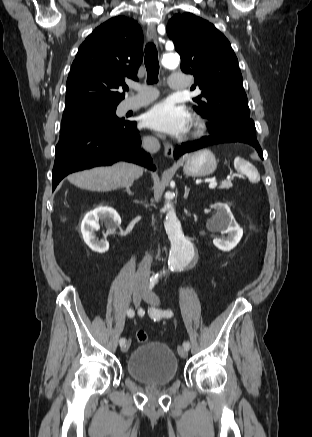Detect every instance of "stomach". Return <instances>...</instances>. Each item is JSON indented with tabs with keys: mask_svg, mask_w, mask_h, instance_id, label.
<instances>
[{
	"mask_svg": "<svg viewBox=\"0 0 312 437\" xmlns=\"http://www.w3.org/2000/svg\"><path fill=\"white\" fill-rule=\"evenodd\" d=\"M216 168L214 154L209 149H202L185 157L183 172L187 176L204 177L212 174Z\"/></svg>",
	"mask_w": 312,
	"mask_h": 437,
	"instance_id": "1",
	"label": "stomach"
}]
</instances>
